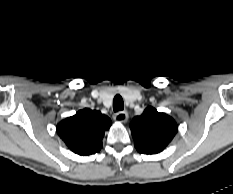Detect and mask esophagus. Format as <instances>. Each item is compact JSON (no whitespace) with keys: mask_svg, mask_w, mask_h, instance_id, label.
<instances>
[{"mask_svg":"<svg viewBox=\"0 0 233 194\" xmlns=\"http://www.w3.org/2000/svg\"><path fill=\"white\" fill-rule=\"evenodd\" d=\"M114 119L117 121V122H126L127 119H128V113L126 111H121V112H118L114 115Z\"/></svg>","mask_w":233,"mask_h":194,"instance_id":"34e87169","label":"esophagus"}]
</instances>
